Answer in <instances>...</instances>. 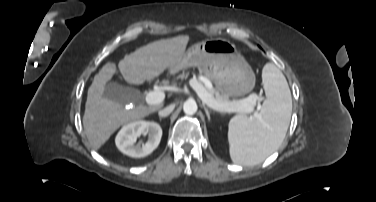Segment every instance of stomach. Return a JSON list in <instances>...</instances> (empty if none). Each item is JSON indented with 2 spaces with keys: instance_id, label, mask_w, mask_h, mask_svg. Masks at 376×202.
Segmentation results:
<instances>
[{
  "instance_id": "1",
  "label": "stomach",
  "mask_w": 376,
  "mask_h": 202,
  "mask_svg": "<svg viewBox=\"0 0 376 202\" xmlns=\"http://www.w3.org/2000/svg\"><path fill=\"white\" fill-rule=\"evenodd\" d=\"M197 67L228 97H238L251 92L255 86V75L236 46L222 38L207 39L192 45L181 60L170 67L175 75L188 67Z\"/></svg>"
}]
</instances>
